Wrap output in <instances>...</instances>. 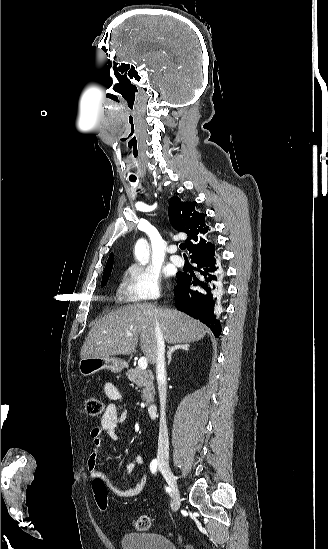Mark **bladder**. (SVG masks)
Instances as JSON below:
<instances>
[{"mask_svg": "<svg viewBox=\"0 0 328 549\" xmlns=\"http://www.w3.org/2000/svg\"><path fill=\"white\" fill-rule=\"evenodd\" d=\"M121 541L122 549H175L172 541L157 533L125 534Z\"/></svg>", "mask_w": 328, "mask_h": 549, "instance_id": "31cf9c89", "label": "bladder"}]
</instances>
